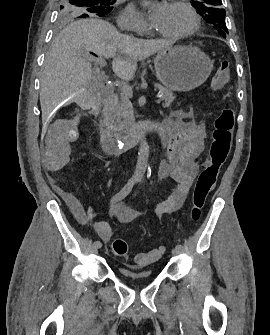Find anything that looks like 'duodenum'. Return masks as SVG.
I'll use <instances>...</instances> for the list:
<instances>
[{
	"label": "duodenum",
	"mask_w": 270,
	"mask_h": 335,
	"mask_svg": "<svg viewBox=\"0 0 270 335\" xmlns=\"http://www.w3.org/2000/svg\"><path fill=\"white\" fill-rule=\"evenodd\" d=\"M105 102L102 107L101 118L99 122L101 143L104 150L109 154H121L151 134L160 135L161 125L159 122H145L136 130L126 136L119 137L112 131V122L114 113L118 107V94L110 87L106 86Z\"/></svg>",
	"instance_id": "1"
}]
</instances>
